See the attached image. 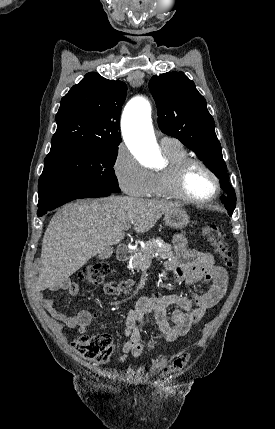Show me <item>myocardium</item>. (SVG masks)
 I'll return each mask as SVG.
<instances>
[{
	"instance_id": "1",
	"label": "myocardium",
	"mask_w": 275,
	"mask_h": 429,
	"mask_svg": "<svg viewBox=\"0 0 275 429\" xmlns=\"http://www.w3.org/2000/svg\"><path fill=\"white\" fill-rule=\"evenodd\" d=\"M193 166L202 167L212 177L215 184V191L211 197L204 200H198V199L192 198L186 193L184 188V181L188 171ZM167 173H168L169 190L172 196L184 202H187L193 205L203 206L214 202L220 195L221 182L218 175L206 162H204L201 159L187 157L175 163L171 167H169L167 170Z\"/></svg>"
}]
</instances>
